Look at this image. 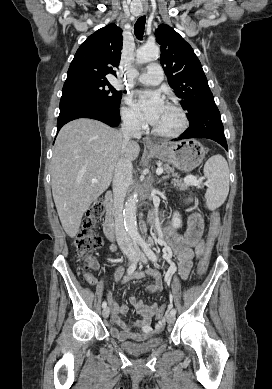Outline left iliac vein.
<instances>
[{"instance_id": "4c4485c4", "label": "left iliac vein", "mask_w": 272, "mask_h": 389, "mask_svg": "<svg viewBox=\"0 0 272 389\" xmlns=\"http://www.w3.org/2000/svg\"><path fill=\"white\" fill-rule=\"evenodd\" d=\"M139 255H140V261L141 262H143V263H145L147 260H146V256L144 255V253L141 251V250H139ZM166 321H167V323H169V324H171V323H173L174 321H175V316L173 315V314H168L167 316H166Z\"/></svg>"}]
</instances>
